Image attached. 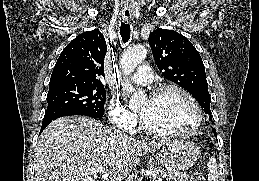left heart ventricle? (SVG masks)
<instances>
[{"label":"left heart ventricle","mask_w":259,"mask_h":181,"mask_svg":"<svg viewBox=\"0 0 259 181\" xmlns=\"http://www.w3.org/2000/svg\"><path fill=\"white\" fill-rule=\"evenodd\" d=\"M140 113L146 123L159 131H182L194 123V110L189 101L177 91H167L144 100Z\"/></svg>","instance_id":"b2bd125f"}]
</instances>
